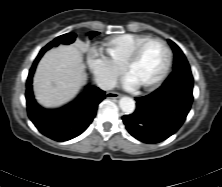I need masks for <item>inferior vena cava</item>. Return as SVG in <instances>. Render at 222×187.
<instances>
[{
	"mask_svg": "<svg viewBox=\"0 0 222 187\" xmlns=\"http://www.w3.org/2000/svg\"><path fill=\"white\" fill-rule=\"evenodd\" d=\"M96 83L102 90H111L116 86V81L109 77H98Z\"/></svg>",
	"mask_w": 222,
	"mask_h": 187,
	"instance_id": "1",
	"label": "inferior vena cava"
}]
</instances>
